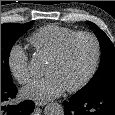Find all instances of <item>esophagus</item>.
I'll return each instance as SVG.
<instances>
[{
    "mask_svg": "<svg viewBox=\"0 0 115 115\" xmlns=\"http://www.w3.org/2000/svg\"><path fill=\"white\" fill-rule=\"evenodd\" d=\"M46 104L45 101H35L36 106H44Z\"/></svg>",
    "mask_w": 115,
    "mask_h": 115,
    "instance_id": "34e87169",
    "label": "esophagus"
}]
</instances>
